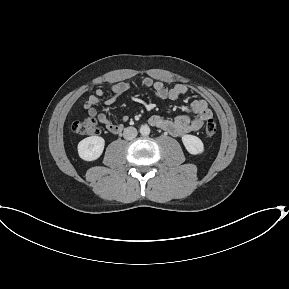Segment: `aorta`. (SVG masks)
I'll list each match as a JSON object with an SVG mask.
<instances>
[{
  "label": "aorta",
  "instance_id": "obj_1",
  "mask_svg": "<svg viewBox=\"0 0 289 289\" xmlns=\"http://www.w3.org/2000/svg\"><path fill=\"white\" fill-rule=\"evenodd\" d=\"M140 133H141V135H143V136L149 135V134H150V128H149V126H148V125H142V126L140 127Z\"/></svg>",
  "mask_w": 289,
  "mask_h": 289
}]
</instances>
